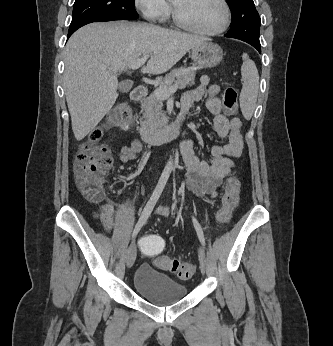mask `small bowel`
I'll return each mask as SVG.
<instances>
[{"mask_svg": "<svg viewBox=\"0 0 333 346\" xmlns=\"http://www.w3.org/2000/svg\"><path fill=\"white\" fill-rule=\"evenodd\" d=\"M218 93L219 86L210 85L209 77L202 76L200 84L196 88L187 90L183 94L181 104L180 116L185 118L193 104L207 95L206 106L214 116L215 131L220 138L227 139L225 144L212 147L209 160H201L196 156L191 139L186 138L181 143V153L186 169V188L203 199L217 196V188L233 170L234 159L240 157L243 148L242 121L236 116L227 118L222 113ZM142 149V141L134 140L130 145L120 147L118 158L121 163L126 164L136 159ZM156 211L160 215H167L170 209L159 206ZM113 215V203L106 202L95 212L94 217L107 232H111L114 229Z\"/></svg>", "mask_w": 333, "mask_h": 346, "instance_id": "small-bowel-1", "label": "small bowel"}]
</instances>
